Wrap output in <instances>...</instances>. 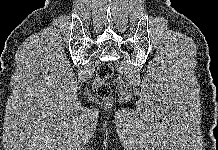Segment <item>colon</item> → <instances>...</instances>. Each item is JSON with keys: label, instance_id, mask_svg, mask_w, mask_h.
Listing matches in <instances>:
<instances>
[{"label": "colon", "instance_id": "1", "mask_svg": "<svg viewBox=\"0 0 218 150\" xmlns=\"http://www.w3.org/2000/svg\"><path fill=\"white\" fill-rule=\"evenodd\" d=\"M112 74L113 70L109 64L103 63L97 68L94 81V91L99 97L108 98L110 96L111 89L107 81Z\"/></svg>", "mask_w": 218, "mask_h": 150}]
</instances>
